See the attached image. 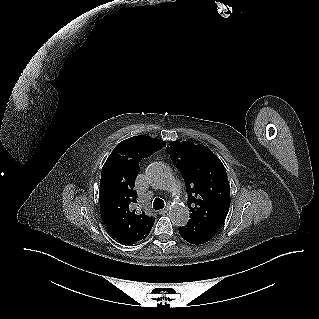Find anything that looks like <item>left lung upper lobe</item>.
I'll use <instances>...</instances> for the list:
<instances>
[{"label": "left lung upper lobe", "mask_w": 319, "mask_h": 319, "mask_svg": "<svg viewBox=\"0 0 319 319\" xmlns=\"http://www.w3.org/2000/svg\"><path fill=\"white\" fill-rule=\"evenodd\" d=\"M188 193L190 218L223 223L230 206V185L221 160L204 145L173 142L167 146Z\"/></svg>", "instance_id": "obj_1"}]
</instances>
